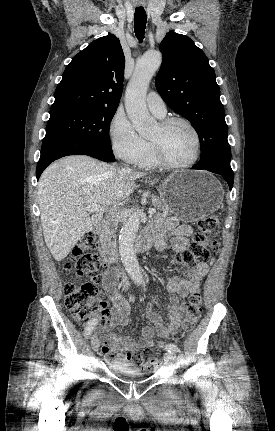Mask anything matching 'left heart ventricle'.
<instances>
[{
  "label": "left heart ventricle",
  "instance_id": "b2bd125f",
  "mask_svg": "<svg viewBox=\"0 0 275 431\" xmlns=\"http://www.w3.org/2000/svg\"><path fill=\"white\" fill-rule=\"evenodd\" d=\"M150 140L157 142L165 157L176 164L190 161L195 154V138L190 129L181 123L172 125L166 131L158 126Z\"/></svg>",
  "mask_w": 275,
  "mask_h": 431
}]
</instances>
